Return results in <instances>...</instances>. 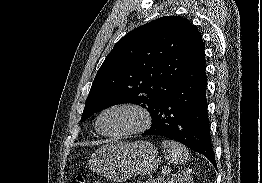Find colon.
Here are the masks:
<instances>
[{
	"mask_svg": "<svg viewBox=\"0 0 262 183\" xmlns=\"http://www.w3.org/2000/svg\"><path fill=\"white\" fill-rule=\"evenodd\" d=\"M88 180V176L87 174H79L77 175L74 180L72 181V183H87Z\"/></svg>",
	"mask_w": 262,
	"mask_h": 183,
	"instance_id": "1",
	"label": "colon"
}]
</instances>
